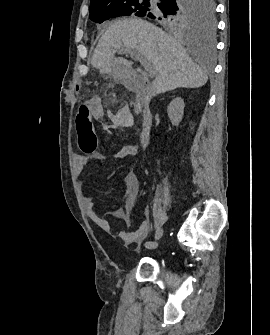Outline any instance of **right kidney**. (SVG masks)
<instances>
[{
	"label": "right kidney",
	"mask_w": 270,
	"mask_h": 335,
	"mask_svg": "<svg viewBox=\"0 0 270 335\" xmlns=\"http://www.w3.org/2000/svg\"><path fill=\"white\" fill-rule=\"evenodd\" d=\"M184 102L182 98H174L167 108L168 118L173 126H179L184 112Z\"/></svg>",
	"instance_id": "right-kidney-1"
}]
</instances>
